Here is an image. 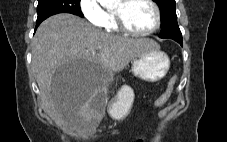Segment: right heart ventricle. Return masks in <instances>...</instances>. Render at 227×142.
Returning a JSON list of instances; mask_svg holds the SVG:
<instances>
[{
    "label": "right heart ventricle",
    "mask_w": 227,
    "mask_h": 142,
    "mask_svg": "<svg viewBox=\"0 0 227 142\" xmlns=\"http://www.w3.org/2000/svg\"><path fill=\"white\" fill-rule=\"evenodd\" d=\"M101 27L108 33H118L120 30L116 25L113 12L105 11V19Z\"/></svg>",
    "instance_id": "obj_1"
}]
</instances>
